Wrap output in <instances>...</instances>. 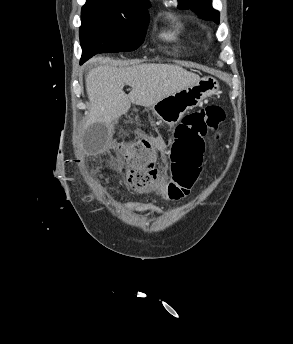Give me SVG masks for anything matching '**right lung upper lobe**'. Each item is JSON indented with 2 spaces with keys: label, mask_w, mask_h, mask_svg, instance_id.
<instances>
[{
  "label": "right lung upper lobe",
  "mask_w": 293,
  "mask_h": 344,
  "mask_svg": "<svg viewBox=\"0 0 293 344\" xmlns=\"http://www.w3.org/2000/svg\"><path fill=\"white\" fill-rule=\"evenodd\" d=\"M86 2H97L111 7L130 8L141 13L144 17L149 18L145 9L150 6L147 0H87Z\"/></svg>",
  "instance_id": "cb5924a9"
}]
</instances>
